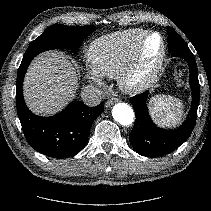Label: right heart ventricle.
<instances>
[{
  "label": "right heart ventricle",
  "instance_id": "obj_1",
  "mask_svg": "<svg viewBox=\"0 0 211 211\" xmlns=\"http://www.w3.org/2000/svg\"><path fill=\"white\" fill-rule=\"evenodd\" d=\"M145 33L144 29L132 28L95 39L87 50L90 65L100 76H116Z\"/></svg>",
  "mask_w": 211,
  "mask_h": 211
}]
</instances>
